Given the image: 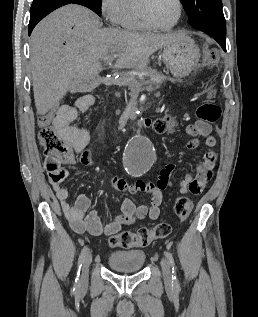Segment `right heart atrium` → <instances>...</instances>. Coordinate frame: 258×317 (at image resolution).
<instances>
[{"label": "right heart atrium", "mask_w": 258, "mask_h": 317, "mask_svg": "<svg viewBox=\"0 0 258 317\" xmlns=\"http://www.w3.org/2000/svg\"><path fill=\"white\" fill-rule=\"evenodd\" d=\"M122 0H101L100 13L107 26H122Z\"/></svg>", "instance_id": "right-heart-atrium-1"}]
</instances>
